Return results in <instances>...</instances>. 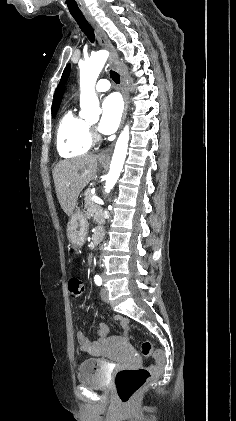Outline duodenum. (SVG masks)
Listing matches in <instances>:
<instances>
[{
  "label": "duodenum",
  "instance_id": "obj_1",
  "mask_svg": "<svg viewBox=\"0 0 236 421\" xmlns=\"http://www.w3.org/2000/svg\"><path fill=\"white\" fill-rule=\"evenodd\" d=\"M103 230L101 228H97L94 232L93 235V246H97L100 241L103 238ZM100 340L99 342H95V343H89V341L84 337V336H80V341L83 345V349L84 350H88L89 352H91L92 354L95 355H103L106 353L107 350V341L105 340V335L107 334L105 331H100ZM126 335H127V326H126V332H125V337L124 339H126Z\"/></svg>",
  "mask_w": 236,
  "mask_h": 421
}]
</instances>
